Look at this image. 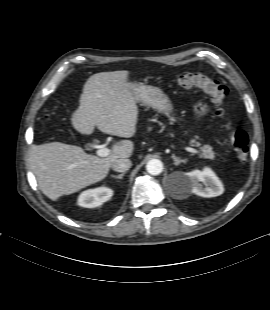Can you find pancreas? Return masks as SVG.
Listing matches in <instances>:
<instances>
[{
  "label": "pancreas",
  "instance_id": "cf45deb5",
  "mask_svg": "<svg viewBox=\"0 0 270 310\" xmlns=\"http://www.w3.org/2000/svg\"><path fill=\"white\" fill-rule=\"evenodd\" d=\"M150 130V129H149ZM192 146H200L201 144L197 142L195 139H192L190 141ZM201 150V156L205 159H211L213 160L215 158V153L213 151V148L210 145H203L200 147Z\"/></svg>",
  "mask_w": 270,
  "mask_h": 310
}]
</instances>
